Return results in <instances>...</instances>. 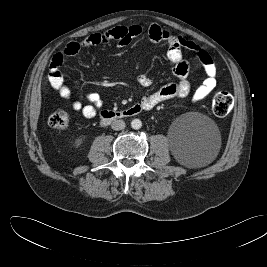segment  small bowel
I'll return each mask as SVG.
<instances>
[{
	"label": "small bowel",
	"instance_id": "obj_1",
	"mask_svg": "<svg viewBox=\"0 0 267 267\" xmlns=\"http://www.w3.org/2000/svg\"><path fill=\"white\" fill-rule=\"evenodd\" d=\"M141 35L148 36L155 45L165 44L167 46L166 56L176 78L175 81L164 85L158 91L144 96L140 102L144 110H151L160 103L172 98H184L190 93L191 84L188 80L189 63L184 57V50H189L195 54L206 74L205 79L193 94V101L201 102L215 89L217 85V70L211 56L188 38L175 36L155 23L148 25H120L104 33L92 34L80 42H70L52 58L48 71V80L51 87L58 92L62 99L70 102L74 111L79 112L87 119L96 117L103 105L99 94L94 92L86 93L87 104L79 100H72V91L64 82L61 67L69 57L74 56L83 48L109 42H116L123 46L133 38ZM138 82L143 87H150L153 84V80L143 74L138 76Z\"/></svg>",
	"mask_w": 267,
	"mask_h": 267
}]
</instances>
